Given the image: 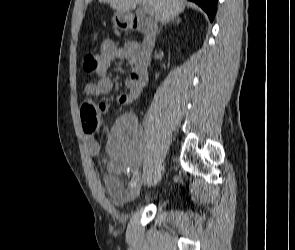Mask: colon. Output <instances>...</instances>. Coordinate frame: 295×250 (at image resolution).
Here are the masks:
<instances>
[{"label": "colon", "instance_id": "1", "mask_svg": "<svg viewBox=\"0 0 295 250\" xmlns=\"http://www.w3.org/2000/svg\"><path fill=\"white\" fill-rule=\"evenodd\" d=\"M83 68L88 73H96L98 70V59L94 54H86L83 57ZM100 107L90 99H85L81 105L80 114L84 132L91 135L101 126Z\"/></svg>", "mask_w": 295, "mask_h": 250}]
</instances>
